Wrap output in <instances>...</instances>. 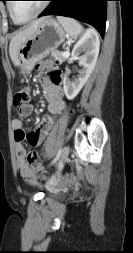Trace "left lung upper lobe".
<instances>
[{"label": "left lung upper lobe", "mask_w": 133, "mask_h": 253, "mask_svg": "<svg viewBox=\"0 0 133 253\" xmlns=\"http://www.w3.org/2000/svg\"><path fill=\"white\" fill-rule=\"evenodd\" d=\"M0 1H3V2H5L6 0H0Z\"/></svg>", "instance_id": "5c2ea615"}]
</instances>
